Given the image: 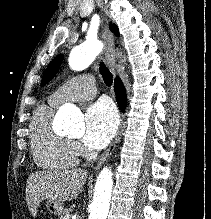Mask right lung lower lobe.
<instances>
[{"instance_id":"obj_1","label":"right lung lower lobe","mask_w":211,"mask_h":219,"mask_svg":"<svg viewBox=\"0 0 211 219\" xmlns=\"http://www.w3.org/2000/svg\"><path fill=\"white\" fill-rule=\"evenodd\" d=\"M114 90L116 94L117 103L122 111H124L126 107V91L123 83L119 78L115 79Z\"/></svg>"}]
</instances>
